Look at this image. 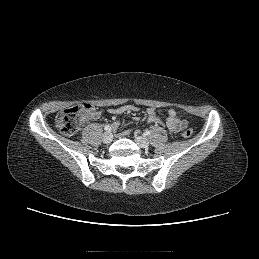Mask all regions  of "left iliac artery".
Listing matches in <instances>:
<instances>
[{
	"mask_svg": "<svg viewBox=\"0 0 259 259\" xmlns=\"http://www.w3.org/2000/svg\"><path fill=\"white\" fill-rule=\"evenodd\" d=\"M144 134L148 136V135H150V131L146 130Z\"/></svg>",
	"mask_w": 259,
	"mask_h": 259,
	"instance_id": "left-iliac-artery-1",
	"label": "left iliac artery"
}]
</instances>
